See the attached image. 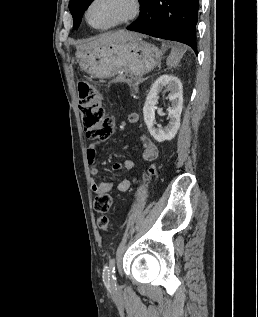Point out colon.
<instances>
[{
	"mask_svg": "<svg viewBox=\"0 0 258 317\" xmlns=\"http://www.w3.org/2000/svg\"><path fill=\"white\" fill-rule=\"evenodd\" d=\"M79 110L86 136L92 139L104 140L114 132V119L103 108L100 96L89 84L80 82L78 85ZM113 208L112 198L108 193H99L94 198V210L101 214L97 220L100 229H109V219L106 216Z\"/></svg>",
	"mask_w": 258,
	"mask_h": 317,
	"instance_id": "obj_1",
	"label": "colon"
}]
</instances>
